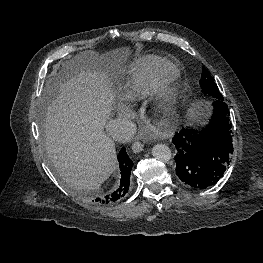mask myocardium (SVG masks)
<instances>
[{"instance_id": "f54148a6", "label": "myocardium", "mask_w": 263, "mask_h": 263, "mask_svg": "<svg viewBox=\"0 0 263 263\" xmlns=\"http://www.w3.org/2000/svg\"><path fill=\"white\" fill-rule=\"evenodd\" d=\"M155 89L161 112L165 116L172 115L179 101V90L174 79L169 78L161 81Z\"/></svg>"}]
</instances>
